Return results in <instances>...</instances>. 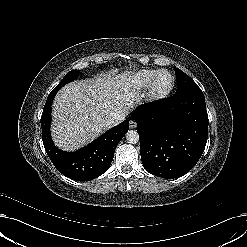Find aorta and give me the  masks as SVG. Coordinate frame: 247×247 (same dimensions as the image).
I'll use <instances>...</instances> for the list:
<instances>
[{"instance_id":"obj_1","label":"aorta","mask_w":247,"mask_h":247,"mask_svg":"<svg viewBox=\"0 0 247 247\" xmlns=\"http://www.w3.org/2000/svg\"><path fill=\"white\" fill-rule=\"evenodd\" d=\"M126 140L130 144H136L139 141V134L136 130H129L126 133Z\"/></svg>"}]
</instances>
